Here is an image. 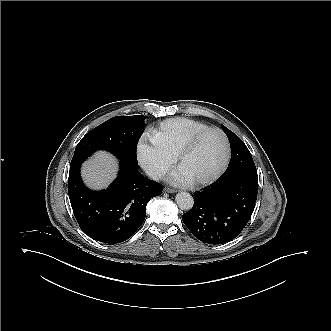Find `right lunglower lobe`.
I'll list each match as a JSON object with an SVG mask.
<instances>
[{
	"label": "right lung lower lobe",
	"instance_id": "1",
	"mask_svg": "<svg viewBox=\"0 0 331 331\" xmlns=\"http://www.w3.org/2000/svg\"><path fill=\"white\" fill-rule=\"evenodd\" d=\"M82 162L71 163L68 179L69 198L79 226L100 242L116 244L129 239L143 223L148 201L162 193V186L120 161L119 175L110 187L92 191L81 180Z\"/></svg>",
	"mask_w": 331,
	"mask_h": 331
}]
</instances>
